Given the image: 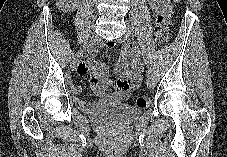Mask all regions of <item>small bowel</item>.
<instances>
[{"label":"small bowel","instance_id":"c3829d8e","mask_svg":"<svg viewBox=\"0 0 227 157\" xmlns=\"http://www.w3.org/2000/svg\"><path fill=\"white\" fill-rule=\"evenodd\" d=\"M148 2L155 14L164 17L171 15L173 6L170 0H148ZM113 45V43H110L108 47H112ZM128 61L131 62V66H129ZM76 71L78 74L88 77L94 94L100 97V100L98 102L88 103L77 96L75 98V104L82 111L94 112L109 103L126 100L130 96L131 90L135 89L140 83L143 64L137 47L135 44L129 43L121 50L115 69L116 77H109L106 64L97 62L93 58L79 63ZM109 87L113 88V92L108 94L106 93V89ZM71 91L74 95H79L81 93V87L72 85Z\"/></svg>","mask_w":227,"mask_h":157}]
</instances>
